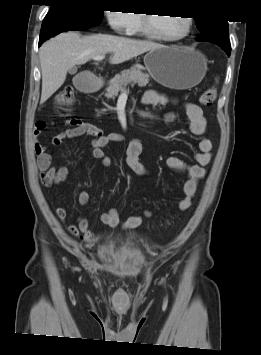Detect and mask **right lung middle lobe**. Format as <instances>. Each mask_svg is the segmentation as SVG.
Instances as JSON below:
<instances>
[{"label": "right lung middle lobe", "instance_id": "obj_1", "mask_svg": "<svg viewBox=\"0 0 261 355\" xmlns=\"http://www.w3.org/2000/svg\"><path fill=\"white\" fill-rule=\"evenodd\" d=\"M73 14L89 24L99 25L103 18V10L99 9L91 0H63L50 5L47 15Z\"/></svg>", "mask_w": 261, "mask_h": 355}]
</instances>
